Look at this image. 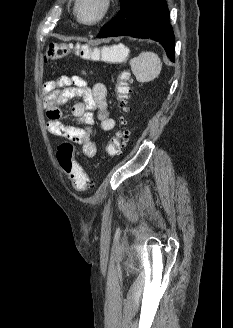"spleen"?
<instances>
[{
  "label": "spleen",
  "instance_id": "1",
  "mask_svg": "<svg viewBox=\"0 0 233 328\" xmlns=\"http://www.w3.org/2000/svg\"><path fill=\"white\" fill-rule=\"evenodd\" d=\"M123 48L114 46L103 49L108 55H119ZM131 70L140 83L153 81L161 72L162 62L159 56L153 52H141L137 57L130 60Z\"/></svg>",
  "mask_w": 233,
  "mask_h": 328
}]
</instances>
